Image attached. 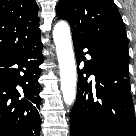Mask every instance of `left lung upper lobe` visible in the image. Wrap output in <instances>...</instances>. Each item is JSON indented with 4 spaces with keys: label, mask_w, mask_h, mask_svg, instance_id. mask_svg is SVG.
Segmentation results:
<instances>
[{
    "label": "left lung upper lobe",
    "mask_w": 136,
    "mask_h": 136,
    "mask_svg": "<svg viewBox=\"0 0 136 136\" xmlns=\"http://www.w3.org/2000/svg\"><path fill=\"white\" fill-rule=\"evenodd\" d=\"M57 17L69 22L72 38L108 48L128 60L125 26L112 0H60Z\"/></svg>",
    "instance_id": "obj_1"
}]
</instances>
